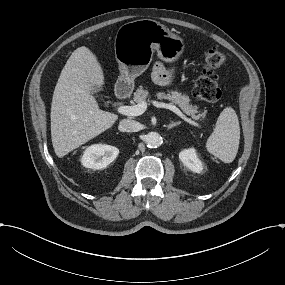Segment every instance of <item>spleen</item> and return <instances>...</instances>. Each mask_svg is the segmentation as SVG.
Returning a JSON list of instances; mask_svg holds the SVG:
<instances>
[{
	"label": "spleen",
	"mask_w": 285,
	"mask_h": 285,
	"mask_svg": "<svg viewBox=\"0 0 285 285\" xmlns=\"http://www.w3.org/2000/svg\"><path fill=\"white\" fill-rule=\"evenodd\" d=\"M240 127L236 111L226 106L220 113L214 133L205 143V149L223 163H232L237 155Z\"/></svg>",
	"instance_id": "obj_1"
}]
</instances>
